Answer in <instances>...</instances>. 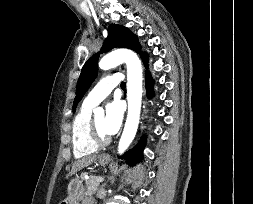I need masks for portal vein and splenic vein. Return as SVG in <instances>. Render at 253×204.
I'll return each instance as SVG.
<instances>
[{
    "label": "portal vein and splenic vein",
    "mask_w": 253,
    "mask_h": 204,
    "mask_svg": "<svg viewBox=\"0 0 253 204\" xmlns=\"http://www.w3.org/2000/svg\"><path fill=\"white\" fill-rule=\"evenodd\" d=\"M94 180H95L96 182H98V183H100V182L103 181L102 177H97V176L94 177Z\"/></svg>",
    "instance_id": "portal-vein-and-splenic-vein-1"
}]
</instances>
